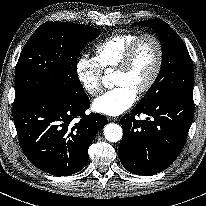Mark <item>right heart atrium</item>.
<instances>
[{
  "mask_svg": "<svg viewBox=\"0 0 206 206\" xmlns=\"http://www.w3.org/2000/svg\"><path fill=\"white\" fill-rule=\"evenodd\" d=\"M76 76L88 95L96 96L102 91L103 69L95 57H80L76 63Z\"/></svg>",
  "mask_w": 206,
  "mask_h": 206,
  "instance_id": "obj_1",
  "label": "right heart atrium"
}]
</instances>
